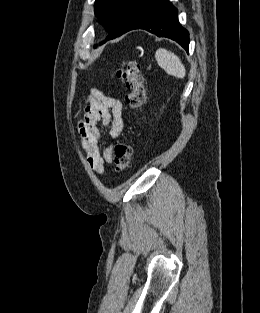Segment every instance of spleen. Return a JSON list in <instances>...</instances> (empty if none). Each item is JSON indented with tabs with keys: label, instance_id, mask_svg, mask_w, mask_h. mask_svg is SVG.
Segmentation results:
<instances>
[{
	"label": "spleen",
	"instance_id": "1",
	"mask_svg": "<svg viewBox=\"0 0 260 313\" xmlns=\"http://www.w3.org/2000/svg\"><path fill=\"white\" fill-rule=\"evenodd\" d=\"M155 58L158 65L164 69V71L172 76L178 78H184L186 75V69L177 55L171 51L160 48L155 53Z\"/></svg>",
	"mask_w": 260,
	"mask_h": 313
}]
</instances>
